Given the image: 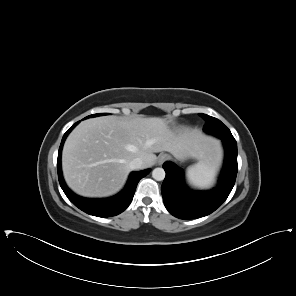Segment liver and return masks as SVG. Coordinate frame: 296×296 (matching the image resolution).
Segmentation results:
<instances>
[{"label": "liver", "instance_id": "liver-1", "mask_svg": "<svg viewBox=\"0 0 296 296\" xmlns=\"http://www.w3.org/2000/svg\"><path fill=\"white\" fill-rule=\"evenodd\" d=\"M217 150L218 143L198 129H172L163 118L104 116L82 121L69 134L62 170L75 193L108 197L123 187L135 158L143 160L145 169L155 164L154 153L205 160Z\"/></svg>", "mask_w": 296, "mask_h": 296}]
</instances>
